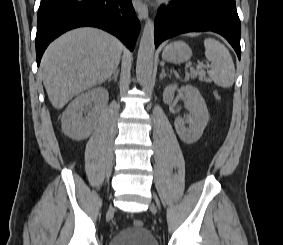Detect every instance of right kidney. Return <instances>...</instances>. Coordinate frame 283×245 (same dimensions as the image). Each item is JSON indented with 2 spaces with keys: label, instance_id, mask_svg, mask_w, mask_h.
Instances as JSON below:
<instances>
[{
  "label": "right kidney",
  "instance_id": "ca27d5eb",
  "mask_svg": "<svg viewBox=\"0 0 283 245\" xmlns=\"http://www.w3.org/2000/svg\"><path fill=\"white\" fill-rule=\"evenodd\" d=\"M108 99V91L103 87L91 89L76 97L62 114L63 133L74 140L89 137ZM84 113H87L86 117Z\"/></svg>",
  "mask_w": 283,
  "mask_h": 245
}]
</instances>
